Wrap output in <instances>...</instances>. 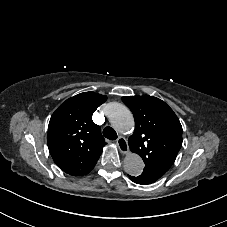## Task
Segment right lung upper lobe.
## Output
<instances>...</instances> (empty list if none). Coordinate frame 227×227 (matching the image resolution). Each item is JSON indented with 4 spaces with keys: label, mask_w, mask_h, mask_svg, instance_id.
Listing matches in <instances>:
<instances>
[{
    "label": "right lung upper lobe",
    "mask_w": 227,
    "mask_h": 227,
    "mask_svg": "<svg viewBox=\"0 0 227 227\" xmlns=\"http://www.w3.org/2000/svg\"><path fill=\"white\" fill-rule=\"evenodd\" d=\"M106 100L105 95L84 92L66 100L52 114L48 148L54 162L64 172L83 176L97 163L106 142L92 114Z\"/></svg>",
    "instance_id": "1"
}]
</instances>
